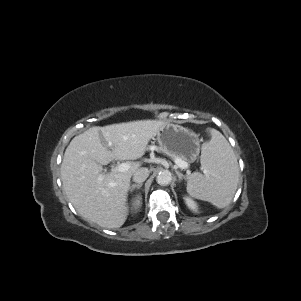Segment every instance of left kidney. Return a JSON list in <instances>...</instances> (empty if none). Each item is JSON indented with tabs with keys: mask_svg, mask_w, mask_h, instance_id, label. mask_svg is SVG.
<instances>
[{
	"mask_svg": "<svg viewBox=\"0 0 301 301\" xmlns=\"http://www.w3.org/2000/svg\"><path fill=\"white\" fill-rule=\"evenodd\" d=\"M185 203L186 205L193 211H197L198 207H197V204L196 202L191 199L190 197H185Z\"/></svg>",
	"mask_w": 301,
	"mask_h": 301,
	"instance_id": "5707ae66",
	"label": "left kidney"
}]
</instances>
